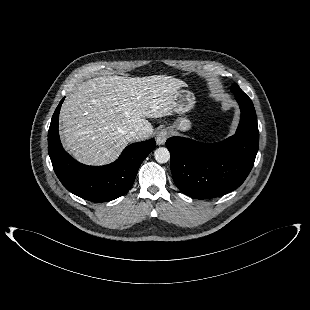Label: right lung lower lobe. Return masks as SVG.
Listing matches in <instances>:
<instances>
[{"instance_id":"98d812e1","label":"right lung lower lobe","mask_w":310,"mask_h":310,"mask_svg":"<svg viewBox=\"0 0 310 310\" xmlns=\"http://www.w3.org/2000/svg\"><path fill=\"white\" fill-rule=\"evenodd\" d=\"M63 100L53 114L48 132V152L57 177L68 191L92 202L111 201L124 195L134 183L141 163L154 150L155 140L127 146L118 160L109 165L81 164L65 152L59 139L58 118Z\"/></svg>"}]
</instances>
